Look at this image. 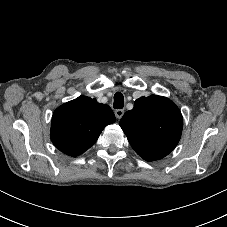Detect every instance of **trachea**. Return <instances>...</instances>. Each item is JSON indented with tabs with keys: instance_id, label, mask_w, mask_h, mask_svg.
Returning <instances> with one entry per match:
<instances>
[{
	"instance_id": "trachea-1",
	"label": "trachea",
	"mask_w": 227,
	"mask_h": 227,
	"mask_svg": "<svg viewBox=\"0 0 227 227\" xmlns=\"http://www.w3.org/2000/svg\"><path fill=\"white\" fill-rule=\"evenodd\" d=\"M113 107L115 109H122L124 107V96L122 93H115Z\"/></svg>"
}]
</instances>
